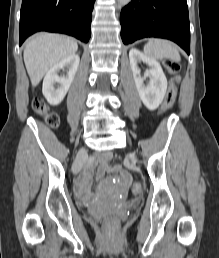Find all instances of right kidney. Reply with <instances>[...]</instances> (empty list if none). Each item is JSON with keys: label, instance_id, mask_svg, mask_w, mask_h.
<instances>
[{"label": "right kidney", "instance_id": "right-kidney-1", "mask_svg": "<svg viewBox=\"0 0 219 258\" xmlns=\"http://www.w3.org/2000/svg\"><path fill=\"white\" fill-rule=\"evenodd\" d=\"M78 55H71L55 64L45 75L42 92L51 105H58L66 96L79 66ZM67 69V74L59 76L61 70Z\"/></svg>", "mask_w": 219, "mask_h": 258}]
</instances>
